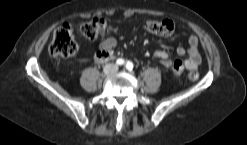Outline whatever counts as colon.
<instances>
[{
    "instance_id": "5ec220e1",
    "label": "colon",
    "mask_w": 247,
    "mask_h": 145,
    "mask_svg": "<svg viewBox=\"0 0 247 145\" xmlns=\"http://www.w3.org/2000/svg\"><path fill=\"white\" fill-rule=\"evenodd\" d=\"M107 29L106 20L102 17H95L83 23L80 31L88 39H98L105 35ZM145 29L158 36H170L175 30V25L171 20H147ZM77 42L74 29L70 24H63L58 27L49 46V52L53 57L67 58L74 55L77 51ZM184 62L176 60L172 63V69L175 75H181L184 70ZM199 77L197 71H190L188 78L192 81Z\"/></svg>"
}]
</instances>
